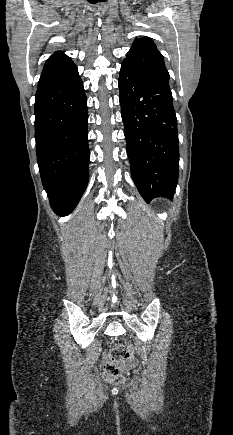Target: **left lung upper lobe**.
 <instances>
[{
  "label": "left lung upper lobe",
  "mask_w": 233,
  "mask_h": 435,
  "mask_svg": "<svg viewBox=\"0 0 233 435\" xmlns=\"http://www.w3.org/2000/svg\"><path fill=\"white\" fill-rule=\"evenodd\" d=\"M122 64L149 79L169 86L170 75L163 56L149 37L135 39Z\"/></svg>",
  "instance_id": "1"
}]
</instances>
